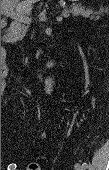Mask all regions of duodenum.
<instances>
[{
	"label": "duodenum",
	"instance_id": "duodenum-1",
	"mask_svg": "<svg viewBox=\"0 0 109 170\" xmlns=\"http://www.w3.org/2000/svg\"><path fill=\"white\" fill-rule=\"evenodd\" d=\"M5 42H6V43L10 42V38H9V37H6V38H5Z\"/></svg>",
	"mask_w": 109,
	"mask_h": 170
}]
</instances>
